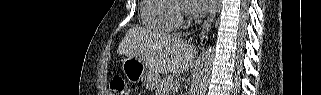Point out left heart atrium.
I'll use <instances>...</instances> for the list:
<instances>
[{
	"label": "left heart atrium",
	"instance_id": "39dd6f15",
	"mask_svg": "<svg viewBox=\"0 0 321 95\" xmlns=\"http://www.w3.org/2000/svg\"><path fill=\"white\" fill-rule=\"evenodd\" d=\"M190 6L188 7V11L195 16H199L204 12L208 11L212 0H189Z\"/></svg>",
	"mask_w": 321,
	"mask_h": 95
}]
</instances>
